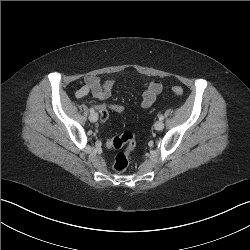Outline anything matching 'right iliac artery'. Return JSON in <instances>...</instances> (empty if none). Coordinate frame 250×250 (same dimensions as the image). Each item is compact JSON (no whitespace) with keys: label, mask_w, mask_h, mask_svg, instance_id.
Segmentation results:
<instances>
[{"label":"right iliac artery","mask_w":250,"mask_h":250,"mask_svg":"<svg viewBox=\"0 0 250 250\" xmlns=\"http://www.w3.org/2000/svg\"><path fill=\"white\" fill-rule=\"evenodd\" d=\"M90 112L93 113V112H94V109H93V108H90Z\"/></svg>","instance_id":"1"}]
</instances>
